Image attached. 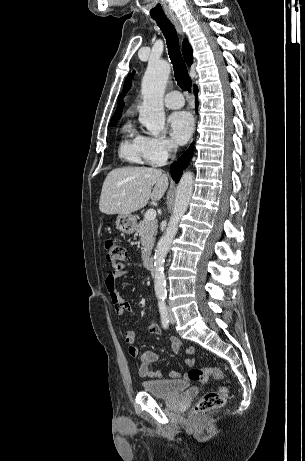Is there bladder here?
<instances>
[{"label": "bladder", "mask_w": 305, "mask_h": 461, "mask_svg": "<svg viewBox=\"0 0 305 461\" xmlns=\"http://www.w3.org/2000/svg\"><path fill=\"white\" fill-rule=\"evenodd\" d=\"M140 384L146 393L166 399L175 398L190 387L185 380L173 379H143Z\"/></svg>", "instance_id": "31cf9c89"}]
</instances>
